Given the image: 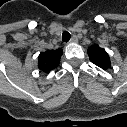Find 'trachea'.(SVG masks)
Segmentation results:
<instances>
[{"mask_svg": "<svg viewBox=\"0 0 127 127\" xmlns=\"http://www.w3.org/2000/svg\"><path fill=\"white\" fill-rule=\"evenodd\" d=\"M70 38H71V35H70V33L68 31H64L62 33V40L64 42H68L70 40Z\"/></svg>", "mask_w": 127, "mask_h": 127, "instance_id": "obj_1", "label": "trachea"}]
</instances>
